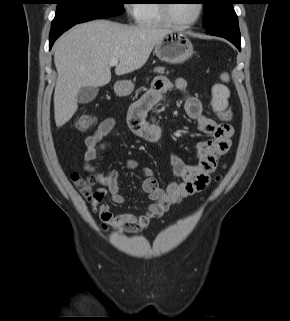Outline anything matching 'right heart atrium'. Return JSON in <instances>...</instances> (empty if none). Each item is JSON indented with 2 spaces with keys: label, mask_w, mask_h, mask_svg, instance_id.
<instances>
[{
  "label": "right heart atrium",
  "mask_w": 290,
  "mask_h": 321,
  "mask_svg": "<svg viewBox=\"0 0 290 321\" xmlns=\"http://www.w3.org/2000/svg\"><path fill=\"white\" fill-rule=\"evenodd\" d=\"M125 8L129 16H131L132 18L136 17L135 6L127 4Z\"/></svg>",
  "instance_id": "d8ad5b80"
}]
</instances>
